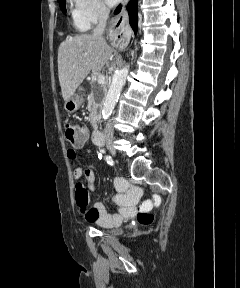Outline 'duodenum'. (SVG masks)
Returning a JSON list of instances; mask_svg holds the SVG:
<instances>
[{
  "label": "duodenum",
  "mask_w": 240,
  "mask_h": 288,
  "mask_svg": "<svg viewBox=\"0 0 240 288\" xmlns=\"http://www.w3.org/2000/svg\"><path fill=\"white\" fill-rule=\"evenodd\" d=\"M98 124H99V117L98 115H94L92 118V125L94 127L93 140L97 145L102 146L104 144V137L98 128Z\"/></svg>",
  "instance_id": "410a0bca"
}]
</instances>
